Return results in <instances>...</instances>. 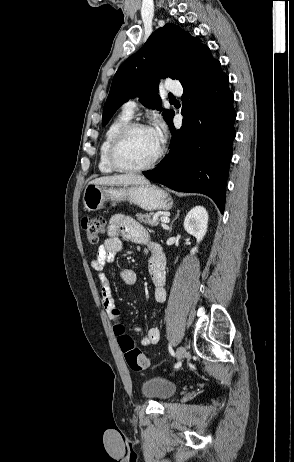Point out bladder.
Segmentation results:
<instances>
[{
    "label": "bladder",
    "instance_id": "1",
    "mask_svg": "<svg viewBox=\"0 0 294 462\" xmlns=\"http://www.w3.org/2000/svg\"><path fill=\"white\" fill-rule=\"evenodd\" d=\"M140 390L143 397L163 402L170 399L176 393V386L164 377L154 376L144 380Z\"/></svg>",
    "mask_w": 294,
    "mask_h": 462
}]
</instances>
